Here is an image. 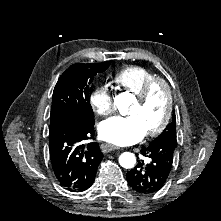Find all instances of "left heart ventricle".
Returning a JSON list of instances; mask_svg holds the SVG:
<instances>
[{
  "label": "left heart ventricle",
  "mask_w": 221,
  "mask_h": 221,
  "mask_svg": "<svg viewBox=\"0 0 221 221\" xmlns=\"http://www.w3.org/2000/svg\"><path fill=\"white\" fill-rule=\"evenodd\" d=\"M166 93L162 87L156 88L147 102L140 106L137 101L128 112L129 116H135L144 127L145 131L155 128L166 113Z\"/></svg>",
  "instance_id": "left-heart-ventricle-1"
}]
</instances>
